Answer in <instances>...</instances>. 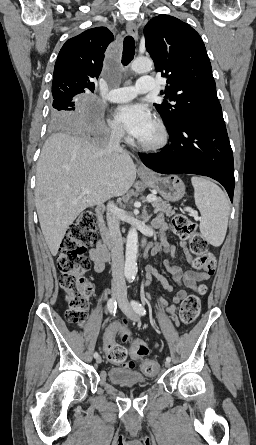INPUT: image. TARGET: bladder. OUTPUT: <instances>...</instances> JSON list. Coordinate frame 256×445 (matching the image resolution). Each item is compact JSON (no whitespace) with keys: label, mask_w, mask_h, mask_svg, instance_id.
Listing matches in <instances>:
<instances>
[{"label":"bladder","mask_w":256,"mask_h":445,"mask_svg":"<svg viewBox=\"0 0 256 445\" xmlns=\"http://www.w3.org/2000/svg\"><path fill=\"white\" fill-rule=\"evenodd\" d=\"M107 376L112 383L117 385H149V380L141 372L128 367L111 368Z\"/></svg>","instance_id":"obj_1"}]
</instances>
